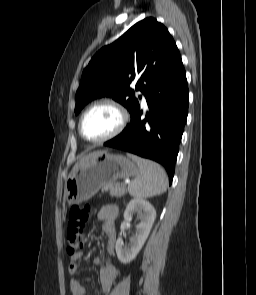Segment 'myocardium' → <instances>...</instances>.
Here are the masks:
<instances>
[{
  "mask_svg": "<svg viewBox=\"0 0 256 295\" xmlns=\"http://www.w3.org/2000/svg\"><path fill=\"white\" fill-rule=\"evenodd\" d=\"M102 105H107L112 107L119 115V122L117 127L107 136L100 138V139H96V140H92V139H88L83 132V123L84 120L87 116V114L93 110L94 108L98 107V106H102ZM128 122V113L127 111L124 109V107L119 104L117 101L110 99V98H104V99H100L96 102H94L93 104H91L82 114L80 121H79V133L81 135V137L92 144H101L104 142H107L113 138H115L116 136H118L123 129L125 128L126 124Z\"/></svg>",
  "mask_w": 256,
  "mask_h": 295,
  "instance_id": "myocardium-1",
  "label": "myocardium"
}]
</instances>
